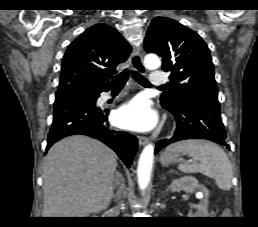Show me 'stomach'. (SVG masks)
Here are the masks:
<instances>
[{
  "mask_svg": "<svg viewBox=\"0 0 258 227\" xmlns=\"http://www.w3.org/2000/svg\"><path fill=\"white\" fill-rule=\"evenodd\" d=\"M181 161H182V158L180 157L179 154L175 152H172V153L164 152L160 156V162L163 165H169V164L181 162Z\"/></svg>",
  "mask_w": 258,
  "mask_h": 227,
  "instance_id": "obj_1",
  "label": "stomach"
}]
</instances>
